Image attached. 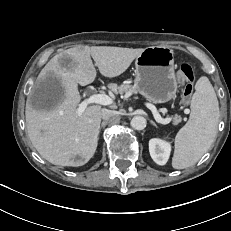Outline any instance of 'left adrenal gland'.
Here are the masks:
<instances>
[{"mask_svg":"<svg viewBox=\"0 0 231 231\" xmlns=\"http://www.w3.org/2000/svg\"><path fill=\"white\" fill-rule=\"evenodd\" d=\"M153 126L157 127L155 122H153L152 120L149 121Z\"/></svg>","mask_w":231,"mask_h":231,"instance_id":"1","label":"left adrenal gland"}]
</instances>
